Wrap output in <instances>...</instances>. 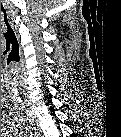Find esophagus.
<instances>
[{"instance_id": "1", "label": "esophagus", "mask_w": 121, "mask_h": 137, "mask_svg": "<svg viewBox=\"0 0 121 137\" xmlns=\"http://www.w3.org/2000/svg\"><path fill=\"white\" fill-rule=\"evenodd\" d=\"M30 124H31V126H33V128L36 130V121L34 120L33 117H32V119H30Z\"/></svg>"}]
</instances>
